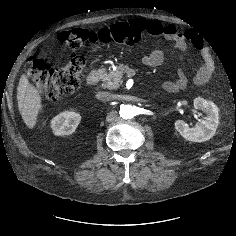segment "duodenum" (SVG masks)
Instances as JSON below:
<instances>
[{
    "instance_id": "obj_1",
    "label": "duodenum",
    "mask_w": 236,
    "mask_h": 236,
    "mask_svg": "<svg viewBox=\"0 0 236 236\" xmlns=\"http://www.w3.org/2000/svg\"><path fill=\"white\" fill-rule=\"evenodd\" d=\"M102 74V70L99 67L94 68L86 77V83L90 86L95 85Z\"/></svg>"
}]
</instances>
